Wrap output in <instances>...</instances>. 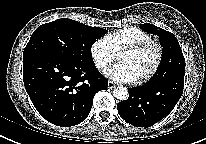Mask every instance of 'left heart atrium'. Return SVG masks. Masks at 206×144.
<instances>
[{"instance_id":"left-heart-atrium-1","label":"left heart atrium","mask_w":206,"mask_h":144,"mask_svg":"<svg viewBox=\"0 0 206 144\" xmlns=\"http://www.w3.org/2000/svg\"><path fill=\"white\" fill-rule=\"evenodd\" d=\"M105 74L117 82H133L136 80L130 68L123 63L112 66Z\"/></svg>"}]
</instances>
